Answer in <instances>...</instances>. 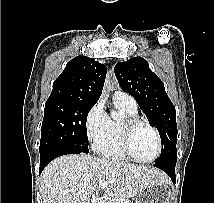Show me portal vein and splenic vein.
<instances>
[{
	"label": "portal vein and splenic vein",
	"mask_w": 214,
	"mask_h": 203,
	"mask_svg": "<svg viewBox=\"0 0 214 203\" xmlns=\"http://www.w3.org/2000/svg\"><path fill=\"white\" fill-rule=\"evenodd\" d=\"M110 183H113V182L112 181H101V182H99L98 187L103 188ZM64 193H67V191H65ZM99 203H111V201H107V202L106 201H100Z\"/></svg>",
	"instance_id": "portal-vein-and-splenic-vein-1"
}]
</instances>
